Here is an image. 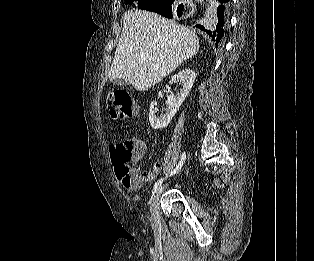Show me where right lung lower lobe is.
Here are the masks:
<instances>
[{"mask_svg":"<svg viewBox=\"0 0 314 261\" xmlns=\"http://www.w3.org/2000/svg\"><path fill=\"white\" fill-rule=\"evenodd\" d=\"M217 10V21L215 27L211 30H206L202 25H196L199 29L205 31L215 42L216 47L221 45L227 25V18L229 12L228 3L230 0H214ZM179 0H163L156 5L150 6L146 10L157 12L167 18L181 17L183 6L179 4Z\"/></svg>","mask_w":314,"mask_h":261,"instance_id":"98d812e1","label":"right lung lower lobe"}]
</instances>
